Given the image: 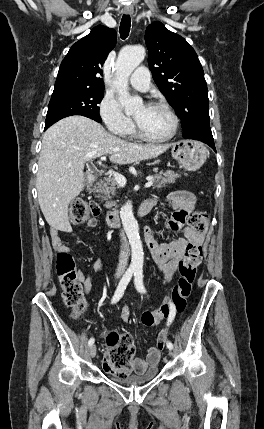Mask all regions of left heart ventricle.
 Instances as JSON below:
<instances>
[{
  "label": "left heart ventricle",
  "mask_w": 264,
  "mask_h": 429,
  "mask_svg": "<svg viewBox=\"0 0 264 429\" xmlns=\"http://www.w3.org/2000/svg\"><path fill=\"white\" fill-rule=\"evenodd\" d=\"M134 118L144 133L152 138H163L172 130V119L162 109L141 106L135 111Z\"/></svg>",
  "instance_id": "left-heart-ventricle-1"
}]
</instances>
